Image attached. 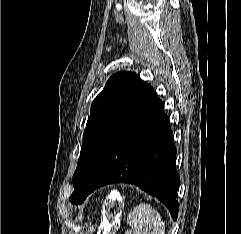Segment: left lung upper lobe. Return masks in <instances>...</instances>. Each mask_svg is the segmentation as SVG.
I'll list each match as a JSON object with an SVG mask.
<instances>
[{"mask_svg": "<svg viewBox=\"0 0 241 234\" xmlns=\"http://www.w3.org/2000/svg\"><path fill=\"white\" fill-rule=\"evenodd\" d=\"M149 87L135 73L122 71L111 76L95 98L72 179L74 192L70 197L71 203L84 202L89 183L111 143Z\"/></svg>", "mask_w": 241, "mask_h": 234, "instance_id": "obj_1", "label": "left lung upper lobe"}]
</instances>
